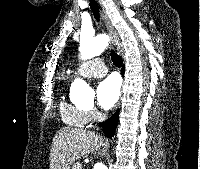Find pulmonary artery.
Wrapping results in <instances>:
<instances>
[{"label": "pulmonary artery", "mask_w": 200, "mask_h": 169, "mask_svg": "<svg viewBox=\"0 0 200 169\" xmlns=\"http://www.w3.org/2000/svg\"><path fill=\"white\" fill-rule=\"evenodd\" d=\"M108 70L102 58H95L81 63L76 69V75L82 77H103Z\"/></svg>", "instance_id": "e3ab8cb5"}]
</instances>
